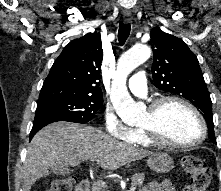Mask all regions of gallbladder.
<instances>
[{"instance_id": "obj_1", "label": "gallbladder", "mask_w": 221, "mask_h": 191, "mask_svg": "<svg viewBox=\"0 0 221 191\" xmlns=\"http://www.w3.org/2000/svg\"><path fill=\"white\" fill-rule=\"evenodd\" d=\"M51 171L54 174H61V175L68 174L70 172L68 166L66 164H63V163L62 164H57L56 166L52 167Z\"/></svg>"}]
</instances>
